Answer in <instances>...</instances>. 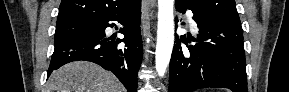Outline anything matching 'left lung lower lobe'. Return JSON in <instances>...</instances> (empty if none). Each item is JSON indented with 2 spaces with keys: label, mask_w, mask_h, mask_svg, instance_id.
Segmentation results:
<instances>
[{
  "label": "left lung lower lobe",
  "mask_w": 289,
  "mask_h": 92,
  "mask_svg": "<svg viewBox=\"0 0 289 92\" xmlns=\"http://www.w3.org/2000/svg\"><path fill=\"white\" fill-rule=\"evenodd\" d=\"M175 7L182 13L192 10L199 35L193 39L197 41L195 45H188L185 35L181 41L175 40L169 67V92H191L205 87L248 92L241 24L196 9L185 0H176ZM190 40L188 37V42Z\"/></svg>",
  "instance_id": "0a47b994"
}]
</instances>
